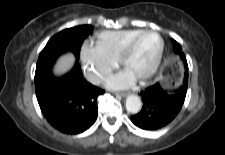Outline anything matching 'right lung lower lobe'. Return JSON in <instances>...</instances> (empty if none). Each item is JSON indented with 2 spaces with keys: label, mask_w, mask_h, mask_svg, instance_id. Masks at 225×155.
I'll return each instance as SVG.
<instances>
[{
  "label": "right lung lower lobe",
  "mask_w": 225,
  "mask_h": 155,
  "mask_svg": "<svg viewBox=\"0 0 225 155\" xmlns=\"http://www.w3.org/2000/svg\"><path fill=\"white\" fill-rule=\"evenodd\" d=\"M35 91L40 109L47 121L66 134H78L88 129L97 118V97L104 93L88 83L79 62L62 78L51 68L35 78Z\"/></svg>",
  "instance_id": "obj_1"
}]
</instances>
